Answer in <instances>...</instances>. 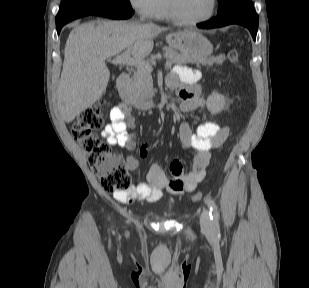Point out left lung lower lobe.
Masks as SVG:
<instances>
[{
	"mask_svg": "<svg viewBox=\"0 0 309 288\" xmlns=\"http://www.w3.org/2000/svg\"><path fill=\"white\" fill-rule=\"evenodd\" d=\"M258 21V15L254 9L253 3H248L238 6L225 14L218 15L210 21L199 23L197 27L211 29L229 24H240L248 28L253 39L256 40Z\"/></svg>",
	"mask_w": 309,
	"mask_h": 288,
	"instance_id": "0a47b994",
	"label": "left lung lower lobe"
}]
</instances>
